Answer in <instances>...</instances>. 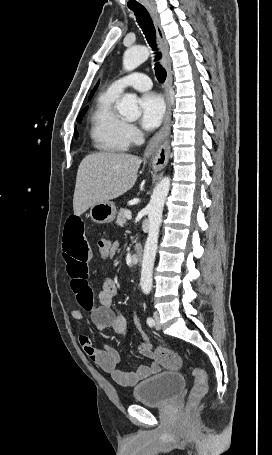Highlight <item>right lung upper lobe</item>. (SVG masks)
<instances>
[{"mask_svg": "<svg viewBox=\"0 0 272 455\" xmlns=\"http://www.w3.org/2000/svg\"><path fill=\"white\" fill-rule=\"evenodd\" d=\"M97 86H98V84L95 86L94 90H92V92H91V94H90V96H89V99H91V97H92V95L94 94V91L96 90Z\"/></svg>", "mask_w": 272, "mask_h": 455, "instance_id": "cb5924a9", "label": "right lung upper lobe"}]
</instances>
